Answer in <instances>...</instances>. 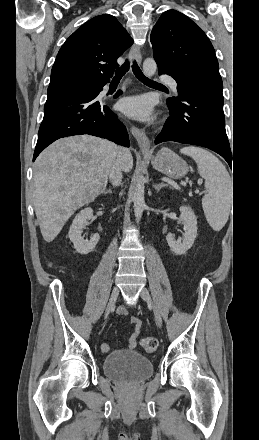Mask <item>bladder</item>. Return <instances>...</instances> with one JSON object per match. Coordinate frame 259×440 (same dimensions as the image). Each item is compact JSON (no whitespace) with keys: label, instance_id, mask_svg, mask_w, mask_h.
I'll return each mask as SVG.
<instances>
[{"label":"bladder","instance_id":"1","mask_svg":"<svg viewBox=\"0 0 259 440\" xmlns=\"http://www.w3.org/2000/svg\"><path fill=\"white\" fill-rule=\"evenodd\" d=\"M104 374L117 382L139 383L153 374V364L145 355L133 350H117L103 359Z\"/></svg>","mask_w":259,"mask_h":440}]
</instances>
